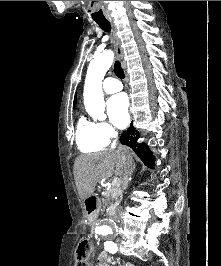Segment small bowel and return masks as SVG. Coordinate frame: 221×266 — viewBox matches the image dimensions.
Listing matches in <instances>:
<instances>
[{"instance_id":"small-bowel-1","label":"small bowel","mask_w":221,"mask_h":266,"mask_svg":"<svg viewBox=\"0 0 221 266\" xmlns=\"http://www.w3.org/2000/svg\"><path fill=\"white\" fill-rule=\"evenodd\" d=\"M113 265L114 262L109 253L103 252L98 256L96 266H113ZM122 266H134V265H132L131 263H126Z\"/></svg>"}]
</instances>
